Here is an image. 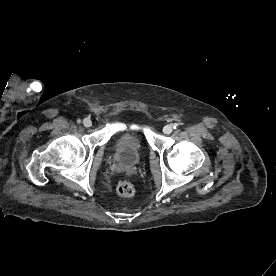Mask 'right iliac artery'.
I'll list each match as a JSON object with an SVG mask.
<instances>
[{"label": "right iliac artery", "instance_id": "1", "mask_svg": "<svg viewBox=\"0 0 276 276\" xmlns=\"http://www.w3.org/2000/svg\"><path fill=\"white\" fill-rule=\"evenodd\" d=\"M77 123H81V120H80V119H78V120H77Z\"/></svg>", "mask_w": 276, "mask_h": 276}]
</instances>
